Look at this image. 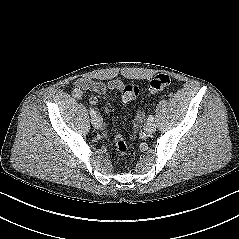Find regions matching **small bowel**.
<instances>
[{
  "label": "small bowel",
  "instance_id": "obj_1",
  "mask_svg": "<svg viewBox=\"0 0 239 239\" xmlns=\"http://www.w3.org/2000/svg\"><path fill=\"white\" fill-rule=\"evenodd\" d=\"M123 88V83L120 80H112L108 83L98 82L87 78L77 79L73 83L72 94L76 98H80L86 92H95L97 94L103 96H109L110 92L120 91ZM89 103L95 106L98 103V99L96 97H91L89 99ZM103 113L107 115L109 113V109L107 107L103 108ZM142 114H139L135 120L136 126L141 122ZM106 136V132L104 133Z\"/></svg>",
  "mask_w": 239,
  "mask_h": 239
}]
</instances>
